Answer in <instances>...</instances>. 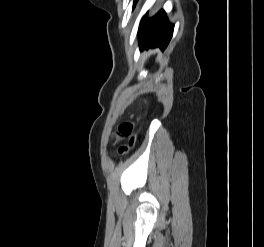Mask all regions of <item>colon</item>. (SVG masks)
I'll return each mask as SVG.
<instances>
[{
  "mask_svg": "<svg viewBox=\"0 0 264 247\" xmlns=\"http://www.w3.org/2000/svg\"><path fill=\"white\" fill-rule=\"evenodd\" d=\"M117 134L122 138H129V146H132L135 143V136L133 135V123L123 122L119 125ZM128 151L127 146H121L119 152L125 154Z\"/></svg>",
  "mask_w": 264,
  "mask_h": 247,
  "instance_id": "obj_1",
  "label": "colon"
}]
</instances>
